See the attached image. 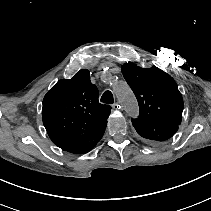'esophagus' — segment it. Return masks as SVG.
<instances>
[{"label":"esophagus","instance_id":"34e87169","mask_svg":"<svg viewBox=\"0 0 211 211\" xmlns=\"http://www.w3.org/2000/svg\"><path fill=\"white\" fill-rule=\"evenodd\" d=\"M112 108L115 109V110H120V109H122V107H121L119 104H117V103L113 104V105H112Z\"/></svg>","mask_w":211,"mask_h":211}]
</instances>
